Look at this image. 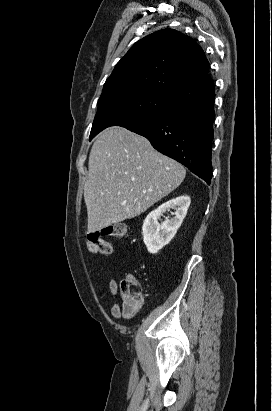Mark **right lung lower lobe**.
Instances as JSON below:
<instances>
[{"label":"right lung lower lobe","mask_w":272,"mask_h":411,"mask_svg":"<svg viewBox=\"0 0 272 411\" xmlns=\"http://www.w3.org/2000/svg\"><path fill=\"white\" fill-rule=\"evenodd\" d=\"M214 99L212 92L127 129L146 137L156 150L210 184Z\"/></svg>","instance_id":"obj_1"}]
</instances>
